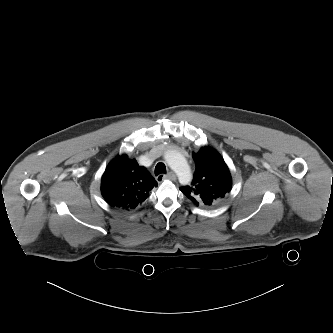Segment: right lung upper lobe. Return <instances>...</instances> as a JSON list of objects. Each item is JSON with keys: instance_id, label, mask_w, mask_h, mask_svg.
<instances>
[{"instance_id": "right-lung-upper-lobe-1", "label": "right lung upper lobe", "mask_w": 333, "mask_h": 333, "mask_svg": "<svg viewBox=\"0 0 333 333\" xmlns=\"http://www.w3.org/2000/svg\"><path fill=\"white\" fill-rule=\"evenodd\" d=\"M155 186L157 182L145 167L122 155L108 164L101 180V193L110 206L129 210L145 201Z\"/></svg>"}]
</instances>
